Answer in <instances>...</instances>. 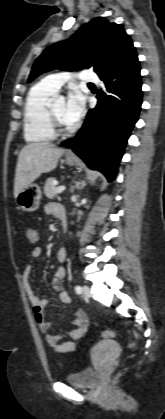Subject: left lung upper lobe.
I'll return each instance as SVG.
<instances>
[{
  "mask_svg": "<svg viewBox=\"0 0 165 419\" xmlns=\"http://www.w3.org/2000/svg\"><path fill=\"white\" fill-rule=\"evenodd\" d=\"M132 47L131 38L120 25L97 17L69 39L45 49L35 60L28 82L53 69L73 71L93 66L100 76L120 62Z\"/></svg>",
  "mask_w": 165,
  "mask_h": 419,
  "instance_id": "1",
  "label": "left lung upper lobe"
}]
</instances>
